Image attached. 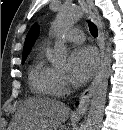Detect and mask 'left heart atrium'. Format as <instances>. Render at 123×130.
<instances>
[{
  "label": "left heart atrium",
  "mask_w": 123,
  "mask_h": 130,
  "mask_svg": "<svg viewBox=\"0 0 123 130\" xmlns=\"http://www.w3.org/2000/svg\"><path fill=\"white\" fill-rule=\"evenodd\" d=\"M98 58L94 49L80 47L70 56V74L77 83L86 82L97 68Z\"/></svg>",
  "instance_id": "left-heart-atrium-1"
}]
</instances>
